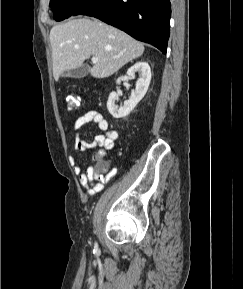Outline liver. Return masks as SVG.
<instances>
[{
  "label": "liver",
  "instance_id": "obj_1",
  "mask_svg": "<svg viewBox=\"0 0 243 289\" xmlns=\"http://www.w3.org/2000/svg\"><path fill=\"white\" fill-rule=\"evenodd\" d=\"M50 43L55 81L64 71L81 67L90 56L99 59L88 66L90 74L106 78L144 52L143 44L125 32L87 17L53 26Z\"/></svg>",
  "mask_w": 243,
  "mask_h": 289
}]
</instances>
